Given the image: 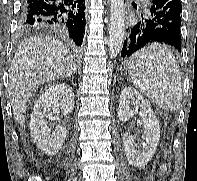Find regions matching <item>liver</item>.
I'll return each instance as SVG.
<instances>
[{
  "label": "liver",
  "instance_id": "6515ba94",
  "mask_svg": "<svg viewBox=\"0 0 197 181\" xmlns=\"http://www.w3.org/2000/svg\"><path fill=\"white\" fill-rule=\"evenodd\" d=\"M76 70L69 49L50 36L21 43L9 68L8 91L16 122L24 125L25 105L37 85L70 76Z\"/></svg>",
  "mask_w": 197,
  "mask_h": 181
}]
</instances>
